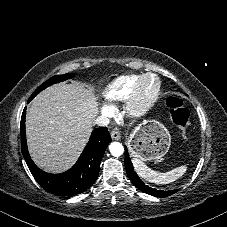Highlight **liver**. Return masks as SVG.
<instances>
[{"mask_svg": "<svg viewBox=\"0 0 227 227\" xmlns=\"http://www.w3.org/2000/svg\"><path fill=\"white\" fill-rule=\"evenodd\" d=\"M98 114V99L84 85L58 84L40 92L26 119L28 149L36 165L50 173L71 168Z\"/></svg>", "mask_w": 227, "mask_h": 227, "instance_id": "1", "label": "liver"}]
</instances>
